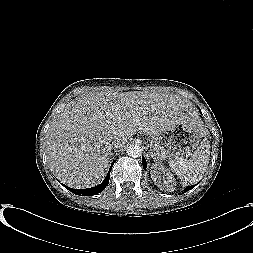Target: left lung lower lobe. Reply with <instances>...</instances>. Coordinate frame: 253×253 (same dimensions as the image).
I'll use <instances>...</instances> for the list:
<instances>
[{"label":"left lung lower lobe","mask_w":253,"mask_h":253,"mask_svg":"<svg viewBox=\"0 0 253 253\" xmlns=\"http://www.w3.org/2000/svg\"><path fill=\"white\" fill-rule=\"evenodd\" d=\"M142 164H143V168L145 169L147 164H146V160L144 159V157H142ZM194 186H195V185H192V186H190V187H186L185 190H184V192L189 191V190L192 189Z\"/></svg>","instance_id":"0a47b994"}]
</instances>
